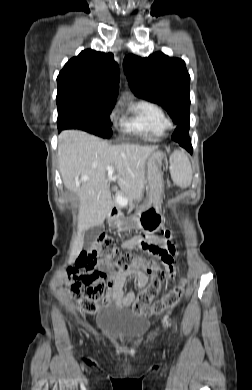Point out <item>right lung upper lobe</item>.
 <instances>
[{"mask_svg":"<svg viewBox=\"0 0 252 390\" xmlns=\"http://www.w3.org/2000/svg\"><path fill=\"white\" fill-rule=\"evenodd\" d=\"M119 66L112 53L91 49L70 59L57 77V106L106 104L114 106L118 95Z\"/></svg>","mask_w":252,"mask_h":390,"instance_id":"1","label":"right lung upper lobe"}]
</instances>
